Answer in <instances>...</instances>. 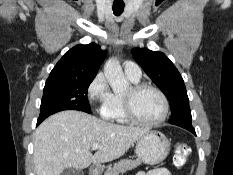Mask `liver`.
<instances>
[{
    "label": "liver",
    "instance_id": "liver-1",
    "mask_svg": "<svg viewBox=\"0 0 233 175\" xmlns=\"http://www.w3.org/2000/svg\"><path fill=\"white\" fill-rule=\"evenodd\" d=\"M148 131L102 121L80 111L56 113L36 130V175H60L66 168L84 169L91 163L110 162L124 155ZM93 144L100 145L94 155Z\"/></svg>",
    "mask_w": 233,
    "mask_h": 175
}]
</instances>
